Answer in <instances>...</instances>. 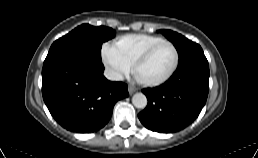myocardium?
Here are the masks:
<instances>
[{
  "instance_id": "myocardium-1",
  "label": "myocardium",
  "mask_w": 258,
  "mask_h": 158,
  "mask_svg": "<svg viewBox=\"0 0 258 158\" xmlns=\"http://www.w3.org/2000/svg\"><path fill=\"white\" fill-rule=\"evenodd\" d=\"M165 44L170 45L174 49L175 62L173 64V66L171 67V69L163 77L156 79V80H151L149 83L152 85H160V84L165 83L172 77V75L177 70L179 63H180V54H179V51L176 48V46L170 41H166V40L161 41V42L157 43L156 45L152 46L151 48H149L148 50H146L142 54L140 59L137 61V63L135 64V69H138L150 55H152L159 47H161L162 45H165Z\"/></svg>"
}]
</instances>
